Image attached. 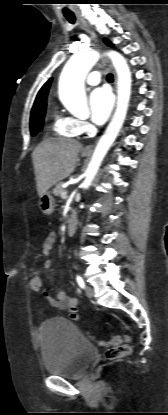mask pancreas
Masks as SVG:
<instances>
[{
	"mask_svg": "<svg viewBox=\"0 0 168 415\" xmlns=\"http://www.w3.org/2000/svg\"><path fill=\"white\" fill-rule=\"evenodd\" d=\"M65 191L63 188V182H59L56 184L55 188L53 189V194L57 197H61V193Z\"/></svg>",
	"mask_w": 168,
	"mask_h": 415,
	"instance_id": "1",
	"label": "pancreas"
}]
</instances>
